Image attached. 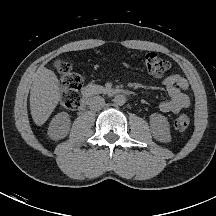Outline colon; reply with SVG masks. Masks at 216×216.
I'll use <instances>...</instances> for the list:
<instances>
[{
  "label": "colon",
  "instance_id": "5ec220e1",
  "mask_svg": "<svg viewBox=\"0 0 216 216\" xmlns=\"http://www.w3.org/2000/svg\"><path fill=\"white\" fill-rule=\"evenodd\" d=\"M138 61L144 69L155 76H161L171 68L168 60L152 52L138 57ZM58 75L62 87L61 106L66 110H75L80 105L82 78L66 63L59 67ZM189 124L190 118L186 112H181L174 121V127L178 131L186 130Z\"/></svg>",
  "mask_w": 216,
  "mask_h": 216
}]
</instances>
